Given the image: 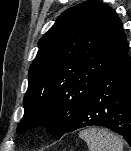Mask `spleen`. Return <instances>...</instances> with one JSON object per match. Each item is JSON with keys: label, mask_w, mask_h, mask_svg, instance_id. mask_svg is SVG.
<instances>
[{"label": "spleen", "mask_w": 131, "mask_h": 151, "mask_svg": "<svg viewBox=\"0 0 131 151\" xmlns=\"http://www.w3.org/2000/svg\"><path fill=\"white\" fill-rule=\"evenodd\" d=\"M90 151H123L121 140L104 129H86L79 133Z\"/></svg>", "instance_id": "1"}]
</instances>
